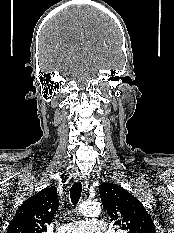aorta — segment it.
I'll return each instance as SVG.
<instances>
[{
	"instance_id": "aorta-1",
	"label": "aorta",
	"mask_w": 174,
	"mask_h": 233,
	"mask_svg": "<svg viewBox=\"0 0 174 233\" xmlns=\"http://www.w3.org/2000/svg\"><path fill=\"white\" fill-rule=\"evenodd\" d=\"M79 212L87 217H97L101 213V207L98 204L84 202L79 205Z\"/></svg>"
}]
</instances>
